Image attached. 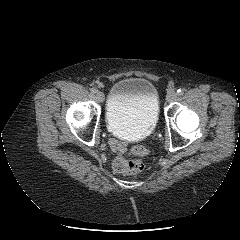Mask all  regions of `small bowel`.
Returning a JSON list of instances; mask_svg holds the SVG:
<instances>
[{"instance_id": "1", "label": "small bowel", "mask_w": 240, "mask_h": 240, "mask_svg": "<svg viewBox=\"0 0 240 240\" xmlns=\"http://www.w3.org/2000/svg\"><path fill=\"white\" fill-rule=\"evenodd\" d=\"M106 148L110 152L115 151L118 155H125L129 151L128 146L123 141H119L116 137H111L108 140Z\"/></svg>"}]
</instances>
